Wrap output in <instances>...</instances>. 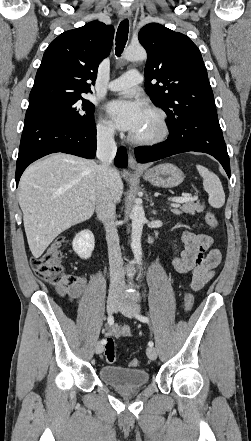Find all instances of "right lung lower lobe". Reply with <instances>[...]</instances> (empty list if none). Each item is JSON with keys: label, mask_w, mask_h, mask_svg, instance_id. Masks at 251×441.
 <instances>
[{"label": "right lung lower lobe", "mask_w": 251, "mask_h": 441, "mask_svg": "<svg viewBox=\"0 0 251 441\" xmlns=\"http://www.w3.org/2000/svg\"><path fill=\"white\" fill-rule=\"evenodd\" d=\"M55 152L93 159L96 155V126L73 127L45 114L26 112L16 164V186L26 167L35 160ZM115 164L127 166V151L120 147Z\"/></svg>", "instance_id": "1"}]
</instances>
